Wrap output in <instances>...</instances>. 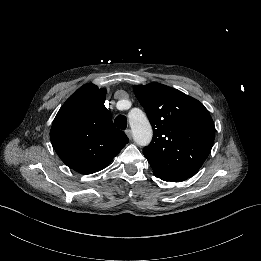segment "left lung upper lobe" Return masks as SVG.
I'll return each instance as SVG.
<instances>
[{
    "mask_svg": "<svg viewBox=\"0 0 261 261\" xmlns=\"http://www.w3.org/2000/svg\"><path fill=\"white\" fill-rule=\"evenodd\" d=\"M153 127L144 148L156 177L181 182L198 172L215 137L213 120L198 100L169 86L150 83L134 86Z\"/></svg>",
    "mask_w": 261,
    "mask_h": 261,
    "instance_id": "1",
    "label": "left lung upper lobe"
}]
</instances>
